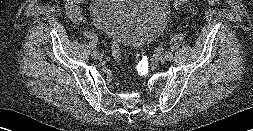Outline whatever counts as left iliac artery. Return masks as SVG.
Returning a JSON list of instances; mask_svg holds the SVG:
<instances>
[{"mask_svg":"<svg viewBox=\"0 0 253 131\" xmlns=\"http://www.w3.org/2000/svg\"><path fill=\"white\" fill-rule=\"evenodd\" d=\"M164 50V47L162 46V45H159L158 47H157V51L158 52H162Z\"/></svg>","mask_w":253,"mask_h":131,"instance_id":"left-iliac-artery-1","label":"left iliac artery"}]
</instances>
